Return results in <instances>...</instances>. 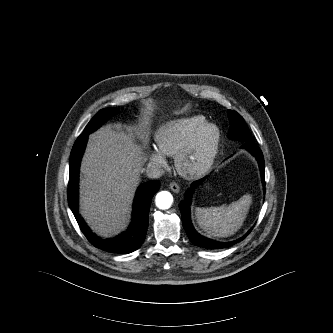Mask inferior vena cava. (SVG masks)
Segmentation results:
<instances>
[{
    "label": "inferior vena cava",
    "instance_id": "1",
    "mask_svg": "<svg viewBox=\"0 0 333 333\" xmlns=\"http://www.w3.org/2000/svg\"><path fill=\"white\" fill-rule=\"evenodd\" d=\"M164 173H165L164 169L158 164L150 163L146 168L147 177L152 179L160 178L161 176L164 175Z\"/></svg>",
    "mask_w": 333,
    "mask_h": 333
}]
</instances>
